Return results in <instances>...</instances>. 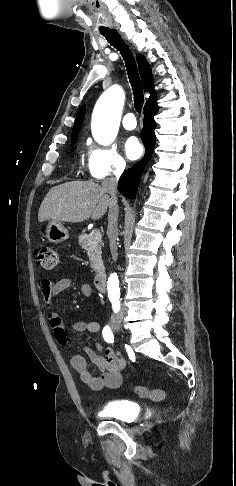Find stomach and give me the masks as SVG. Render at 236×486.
<instances>
[{
  "label": "stomach",
  "instance_id": "stomach-1",
  "mask_svg": "<svg viewBox=\"0 0 236 486\" xmlns=\"http://www.w3.org/2000/svg\"><path fill=\"white\" fill-rule=\"evenodd\" d=\"M46 237L50 242L60 243L69 238V232L61 222L50 220L46 226Z\"/></svg>",
  "mask_w": 236,
  "mask_h": 486
}]
</instances>
